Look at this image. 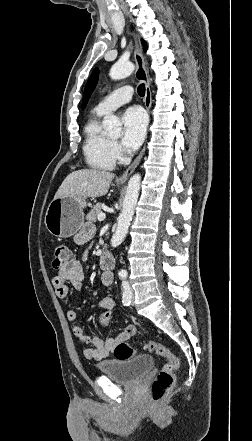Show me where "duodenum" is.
Masks as SVG:
<instances>
[{
  "label": "duodenum",
  "instance_id": "obj_1",
  "mask_svg": "<svg viewBox=\"0 0 252 441\" xmlns=\"http://www.w3.org/2000/svg\"><path fill=\"white\" fill-rule=\"evenodd\" d=\"M99 264L105 272L109 273L114 268L115 261L113 256L108 251L103 250L99 255Z\"/></svg>",
  "mask_w": 252,
  "mask_h": 441
}]
</instances>
